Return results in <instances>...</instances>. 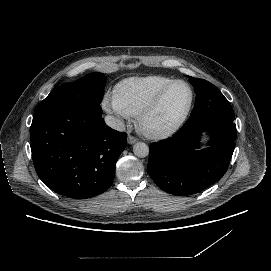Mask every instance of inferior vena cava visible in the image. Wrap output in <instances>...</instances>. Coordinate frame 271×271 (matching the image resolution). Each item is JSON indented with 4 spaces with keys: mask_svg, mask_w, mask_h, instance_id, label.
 I'll list each match as a JSON object with an SVG mask.
<instances>
[{
    "mask_svg": "<svg viewBox=\"0 0 271 271\" xmlns=\"http://www.w3.org/2000/svg\"><path fill=\"white\" fill-rule=\"evenodd\" d=\"M105 122L109 127H111L114 130H117L119 132L125 131L124 123L115 116H112V115L106 116Z\"/></svg>",
    "mask_w": 271,
    "mask_h": 271,
    "instance_id": "inferior-vena-cava-1",
    "label": "inferior vena cava"
}]
</instances>
